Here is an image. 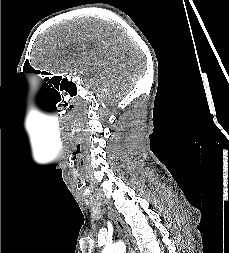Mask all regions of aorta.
Returning <instances> with one entry per match:
<instances>
[{"mask_svg": "<svg viewBox=\"0 0 229 253\" xmlns=\"http://www.w3.org/2000/svg\"><path fill=\"white\" fill-rule=\"evenodd\" d=\"M126 247L125 244L121 241L116 242L112 245L106 246L102 253H125Z\"/></svg>", "mask_w": 229, "mask_h": 253, "instance_id": "obj_1", "label": "aorta"}]
</instances>
